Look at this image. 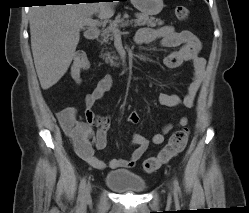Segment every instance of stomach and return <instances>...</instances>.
I'll return each mask as SVG.
<instances>
[{
    "label": "stomach",
    "mask_w": 249,
    "mask_h": 213,
    "mask_svg": "<svg viewBox=\"0 0 249 213\" xmlns=\"http://www.w3.org/2000/svg\"><path fill=\"white\" fill-rule=\"evenodd\" d=\"M132 4L143 14L156 15L163 9V0H131Z\"/></svg>",
    "instance_id": "obj_1"
}]
</instances>
